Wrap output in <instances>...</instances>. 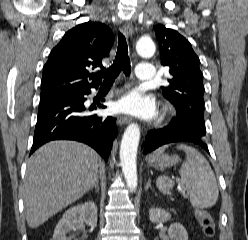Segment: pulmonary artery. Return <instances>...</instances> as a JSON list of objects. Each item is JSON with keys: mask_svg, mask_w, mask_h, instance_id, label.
I'll return each instance as SVG.
<instances>
[{"mask_svg": "<svg viewBox=\"0 0 248 240\" xmlns=\"http://www.w3.org/2000/svg\"><path fill=\"white\" fill-rule=\"evenodd\" d=\"M136 78L141 81H152L155 78V68L149 63H139L137 65Z\"/></svg>", "mask_w": 248, "mask_h": 240, "instance_id": "obj_1", "label": "pulmonary artery"}]
</instances>
